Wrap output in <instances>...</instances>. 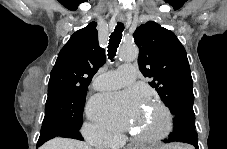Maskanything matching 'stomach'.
<instances>
[{
	"mask_svg": "<svg viewBox=\"0 0 227 149\" xmlns=\"http://www.w3.org/2000/svg\"><path fill=\"white\" fill-rule=\"evenodd\" d=\"M161 149H175V148H172V147H171V148H161Z\"/></svg>",
	"mask_w": 227,
	"mask_h": 149,
	"instance_id": "obj_1",
	"label": "stomach"
}]
</instances>
